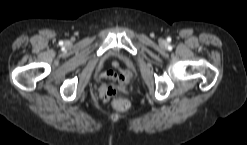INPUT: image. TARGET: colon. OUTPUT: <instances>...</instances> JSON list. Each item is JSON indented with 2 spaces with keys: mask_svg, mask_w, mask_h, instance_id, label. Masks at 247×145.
Masks as SVG:
<instances>
[{
  "mask_svg": "<svg viewBox=\"0 0 247 145\" xmlns=\"http://www.w3.org/2000/svg\"><path fill=\"white\" fill-rule=\"evenodd\" d=\"M115 91L116 90L113 86H109L107 89V94L111 96L115 93ZM112 105L116 110H119V111H125L129 107L128 101L123 98L114 99Z\"/></svg>",
  "mask_w": 247,
  "mask_h": 145,
  "instance_id": "1",
  "label": "colon"
}]
</instances>
